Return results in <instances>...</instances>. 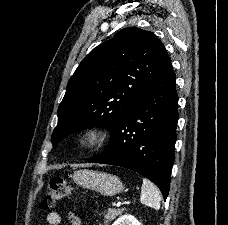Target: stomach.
I'll return each mask as SVG.
<instances>
[{
    "mask_svg": "<svg viewBox=\"0 0 228 225\" xmlns=\"http://www.w3.org/2000/svg\"><path fill=\"white\" fill-rule=\"evenodd\" d=\"M72 179L82 189H91V191L101 193L105 197H113V195H119L124 191V185L119 177L109 175V173L82 169V171H74Z\"/></svg>",
    "mask_w": 228,
    "mask_h": 225,
    "instance_id": "1",
    "label": "stomach"
}]
</instances>
